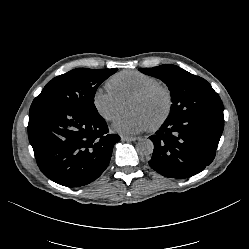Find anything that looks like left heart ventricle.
Here are the masks:
<instances>
[{
	"mask_svg": "<svg viewBox=\"0 0 249 249\" xmlns=\"http://www.w3.org/2000/svg\"><path fill=\"white\" fill-rule=\"evenodd\" d=\"M165 110V100L160 93L145 100H131L129 112L142 115L149 126L154 124Z\"/></svg>",
	"mask_w": 249,
	"mask_h": 249,
	"instance_id": "1",
	"label": "left heart ventricle"
}]
</instances>
